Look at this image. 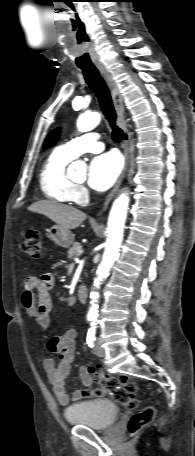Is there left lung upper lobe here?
Returning a JSON list of instances; mask_svg holds the SVG:
<instances>
[{
	"label": "left lung upper lobe",
	"instance_id": "5c2ea615",
	"mask_svg": "<svg viewBox=\"0 0 195 456\" xmlns=\"http://www.w3.org/2000/svg\"><path fill=\"white\" fill-rule=\"evenodd\" d=\"M59 133H60L59 130H53V131L48 135V137H47V139H46V141H45V143H44V144H45L44 146H45L46 148L52 146V145L56 142V140L58 139Z\"/></svg>",
	"mask_w": 195,
	"mask_h": 456
}]
</instances>
